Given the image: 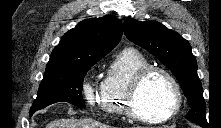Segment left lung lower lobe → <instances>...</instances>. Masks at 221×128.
Listing matches in <instances>:
<instances>
[{"label": "left lung lower lobe", "mask_w": 221, "mask_h": 128, "mask_svg": "<svg viewBox=\"0 0 221 128\" xmlns=\"http://www.w3.org/2000/svg\"><path fill=\"white\" fill-rule=\"evenodd\" d=\"M200 126H201V125H200ZM202 127L207 128L208 126H207V125H205V126H202Z\"/></svg>", "instance_id": "left-lung-lower-lobe-1"}]
</instances>
